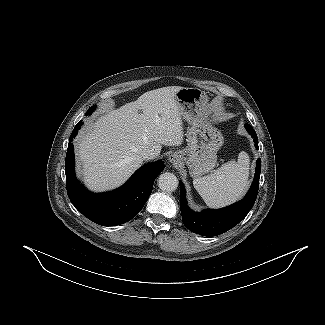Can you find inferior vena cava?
Wrapping results in <instances>:
<instances>
[{
	"label": "inferior vena cava",
	"instance_id": "1",
	"mask_svg": "<svg viewBox=\"0 0 325 325\" xmlns=\"http://www.w3.org/2000/svg\"><path fill=\"white\" fill-rule=\"evenodd\" d=\"M141 156L144 160H152L157 156V153L154 151V149H144L141 152Z\"/></svg>",
	"mask_w": 325,
	"mask_h": 325
}]
</instances>
